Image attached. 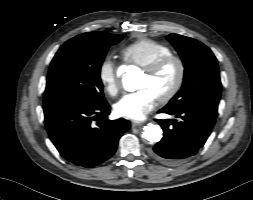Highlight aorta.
Returning a JSON list of instances; mask_svg holds the SVG:
<instances>
[{
  "label": "aorta",
  "instance_id": "1",
  "mask_svg": "<svg viewBox=\"0 0 253 200\" xmlns=\"http://www.w3.org/2000/svg\"><path fill=\"white\" fill-rule=\"evenodd\" d=\"M122 84L126 91H134L138 88L137 80L133 73L124 74ZM142 136L149 142H159L162 138V129L159 125L150 123L144 127Z\"/></svg>",
  "mask_w": 253,
  "mask_h": 200
}]
</instances>
